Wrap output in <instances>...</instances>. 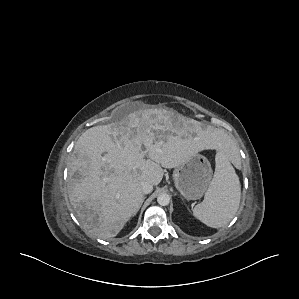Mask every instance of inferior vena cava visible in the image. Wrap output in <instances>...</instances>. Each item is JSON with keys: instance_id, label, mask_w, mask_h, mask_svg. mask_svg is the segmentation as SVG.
Wrapping results in <instances>:
<instances>
[{"instance_id": "inferior-vena-cava-1", "label": "inferior vena cava", "mask_w": 299, "mask_h": 299, "mask_svg": "<svg viewBox=\"0 0 299 299\" xmlns=\"http://www.w3.org/2000/svg\"><path fill=\"white\" fill-rule=\"evenodd\" d=\"M152 190H153V185L152 184H150L147 181H142L141 182V192L143 194H149V193L152 192Z\"/></svg>"}]
</instances>
